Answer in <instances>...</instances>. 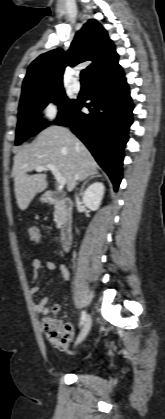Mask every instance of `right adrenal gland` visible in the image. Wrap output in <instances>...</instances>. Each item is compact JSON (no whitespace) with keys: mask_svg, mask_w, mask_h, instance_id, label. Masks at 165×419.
<instances>
[{"mask_svg":"<svg viewBox=\"0 0 165 419\" xmlns=\"http://www.w3.org/2000/svg\"><path fill=\"white\" fill-rule=\"evenodd\" d=\"M94 177H100V175L98 174V172H95L90 178H88L83 184H82V186H81V190H80V195H82L83 194V190H84V186H85V184L89 181V180H91V179H93Z\"/></svg>","mask_w":165,"mask_h":419,"instance_id":"2a0ac1e0","label":"right adrenal gland"}]
</instances>
